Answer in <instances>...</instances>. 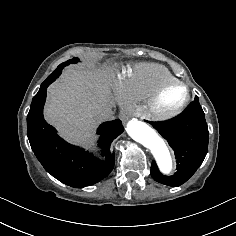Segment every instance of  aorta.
<instances>
[{"label":"aorta","instance_id":"aorta-1","mask_svg":"<svg viewBox=\"0 0 236 236\" xmlns=\"http://www.w3.org/2000/svg\"><path fill=\"white\" fill-rule=\"evenodd\" d=\"M126 131L136 142L148 148L163 175H170L173 169L172 157L164 140L149 125L136 119L127 123Z\"/></svg>","mask_w":236,"mask_h":236}]
</instances>
